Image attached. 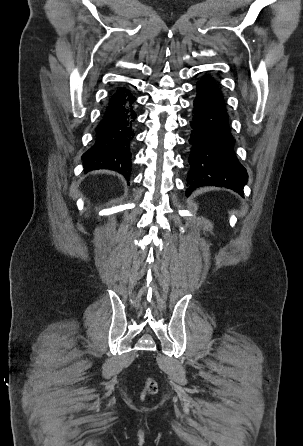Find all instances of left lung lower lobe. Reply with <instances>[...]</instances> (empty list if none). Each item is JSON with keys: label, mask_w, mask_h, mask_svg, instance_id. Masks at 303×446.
<instances>
[{"label": "left lung lower lobe", "mask_w": 303, "mask_h": 446, "mask_svg": "<svg viewBox=\"0 0 303 446\" xmlns=\"http://www.w3.org/2000/svg\"><path fill=\"white\" fill-rule=\"evenodd\" d=\"M193 109L186 196L201 186L225 187L243 196L248 175L233 150L223 94L209 75L197 84Z\"/></svg>", "instance_id": "1"}]
</instances>
